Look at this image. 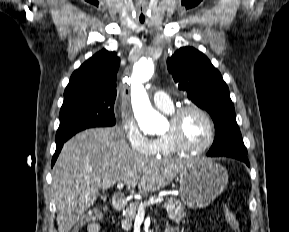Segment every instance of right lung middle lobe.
Wrapping results in <instances>:
<instances>
[{
  "mask_svg": "<svg viewBox=\"0 0 289 232\" xmlns=\"http://www.w3.org/2000/svg\"><path fill=\"white\" fill-rule=\"evenodd\" d=\"M114 102L115 97L106 96L77 97L63 102L56 145L81 130L115 125Z\"/></svg>",
  "mask_w": 289,
  "mask_h": 232,
  "instance_id": "1",
  "label": "right lung middle lobe"
}]
</instances>
